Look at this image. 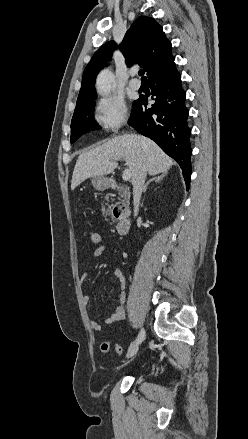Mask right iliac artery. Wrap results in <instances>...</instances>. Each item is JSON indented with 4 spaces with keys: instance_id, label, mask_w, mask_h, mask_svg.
I'll return each instance as SVG.
<instances>
[{
    "instance_id": "82829eb1",
    "label": "right iliac artery",
    "mask_w": 248,
    "mask_h": 439,
    "mask_svg": "<svg viewBox=\"0 0 248 439\" xmlns=\"http://www.w3.org/2000/svg\"><path fill=\"white\" fill-rule=\"evenodd\" d=\"M140 329H139V331H138V341L139 342H144L145 341V336H146V334H147V331H146V328L145 327H143L142 325L139 327Z\"/></svg>"
}]
</instances>
